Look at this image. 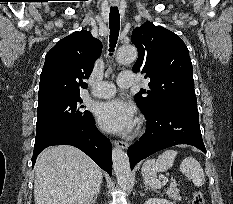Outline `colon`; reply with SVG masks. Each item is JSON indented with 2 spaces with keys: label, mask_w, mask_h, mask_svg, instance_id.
<instances>
[{
  "label": "colon",
  "mask_w": 233,
  "mask_h": 204,
  "mask_svg": "<svg viewBox=\"0 0 233 204\" xmlns=\"http://www.w3.org/2000/svg\"><path fill=\"white\" fill-rule=\"evenodd\" d=\"M192 204H205L204 195L201 191H196L194 193Z\"/></svg>",
  "instance_id": "colon-1"
}]
</instances>
